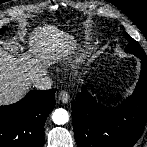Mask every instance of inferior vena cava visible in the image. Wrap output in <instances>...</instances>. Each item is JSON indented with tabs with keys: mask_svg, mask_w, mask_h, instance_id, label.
<instances>
[{
	"mask_svg": "<svg viewBox=\"0 0 147 147\" xmlns=\"http://www.w3.org/2000/svg\"><path fill=\"white\" fill-rule=\"evenodd\" d=\"M52 83L51 78L42 76L34 82V86L40 90H48L51 89Z\"/></svg>",
	"mask_w": 147,
	"mask_h": 147,
	"instance_id": "1",
	"label": "inferior vena cava"
}]
</instances>
